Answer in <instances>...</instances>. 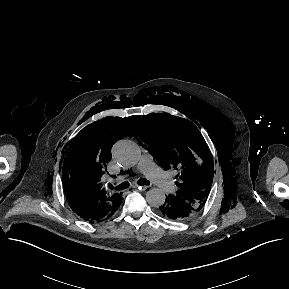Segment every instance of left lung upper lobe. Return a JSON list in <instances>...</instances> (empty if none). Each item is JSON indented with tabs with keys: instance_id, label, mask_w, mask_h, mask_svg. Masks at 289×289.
<instances>
[{
	"instance_id": "1",
	"label": "left lung upper lobe",
	"mask_w": 289,
	"mask_h": 289,
	"mask_svg": "<svg viewBox=\"0 0 289 289\" xmlns=\"http://www.w3.org/2000/svg\"><path fill=\"white\" fill-rule=\"evenodd\" d=\"M139 136L158 164L178 171L179 187L172 197L197 211L204 206L213 181L211 152L197 127L180 117L148 114L139 117ZM141 143V142H140Z\"/></svg>"
}]
</instances>
